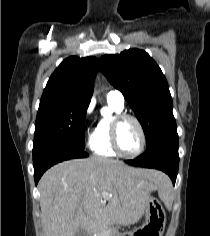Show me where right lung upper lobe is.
Segmentation results:
<instances>
[{"label": "right lung upper lobe", "mask_w": 210, "mask_h": 236, "mask_svg": "<svg viewBox=\"0 0 210 236\" xmlns=\"http://www.w3.org/2000/svg\"><path fill=\"white\" fill-rule=\"evenodd\" d=\"M95 57H69L51 75L40 104L53 101L75 102L88 107L97 73Z\"/></svg>", "instance_id": "1"}]
</instances>
